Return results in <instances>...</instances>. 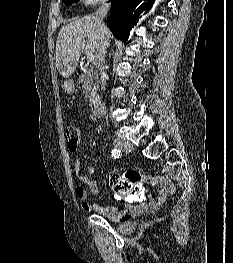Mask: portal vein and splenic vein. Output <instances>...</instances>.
<instances>
[{"mask_svg": "<svg viewBox=\"0 0 233 263\" xmlns=\"http://www.w3.org/2000/svg\"><path fill=\"white\" fill-rule=\"evenodd\" d=\"M95 56L93 54H87V61L94 62Z\"/></svg>", "mask_w": 233, "mask_h": 263, "instance_id": "18ae733b", "label": "portal vein and splenic vein"}]
</instances>
